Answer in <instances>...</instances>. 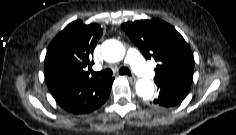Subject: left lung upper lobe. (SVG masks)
I'll return each instance as SVG.
<instances>
[{
    "label": "left lung upper lobe",
    "instance_id": "5c2ea615",
    "mask_svg": "<svg viewBox=\"0 0 236 135\" xmlns=\"http://www.w3.org/2000/svg\"><path fill=\"white\" fill-rule=\"evenodd\" d=\"M121 27L146 59L153 58L158 63L155 82L172 78L192 79V51L174 27L159 19L127 22Z\"/></svg>",
    "mask_w": 236,
    "mask_h": 135
}]
</instances>
